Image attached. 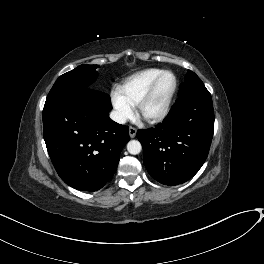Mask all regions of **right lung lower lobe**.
<instances>
[{
  "label": "right lung lower lobe",
  "instance_id": "98d812e1",
  "mask_svg": "<svg viewBox=\"0 0 264 264\" xmlns=\"http://www.w3.org/2000/svg\"><path fill=\"white\" fill-rule=\"evenodd\" d=\"M108 94L86 88L43 109L46 147L60 178L83 191L101 189L113 176L129 128L112 121Z\"/></svg>",
  "mask_w": 264,
  "mask_h": 264
}]
</instances>
